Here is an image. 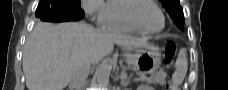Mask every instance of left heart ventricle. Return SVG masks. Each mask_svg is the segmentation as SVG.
I'll use <instances>...</instances> for the list:
<instances>
[{
	"instance_id": "obj_1",
	"label": "left heart ventricle",
	"mask_w": 228,
	"mask_h": 90,
	"mask_svg": "<svg viewBox=\"0 0 228 90\" xmlns=\"http://www.w3.org/2000/svg\"><path fill=\"white\" fill-rule=\"evenodd\" d=\"M142 24L151 30H158L162 26L160 12L151 4H144L137 13Z\"/></svg>"
}]
</instances>
